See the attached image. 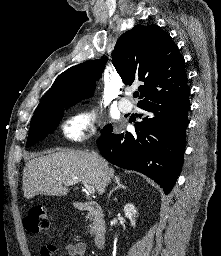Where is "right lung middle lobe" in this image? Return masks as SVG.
<instances>
[{
	"instance_id": "dd1d6c3e",
	"label": "right lung middle lobe",
	"mask_w": 221,
	"mask_h": 256,
	"mask_svg": "<svg viewBox=\"0 0 221 256\" xmlns=\"http://www.w3.org/2000/svg\"><path fill=\"white\" fill-rule=\"evenodd\" d=\"M77 101H69L59 98L48 104L37 107L31 119L27 146L44 139L49 132L54 131L64 114V108H69ZM111 125H106L101 133L110 129Z\"/></svg>"
}]
</instances>
